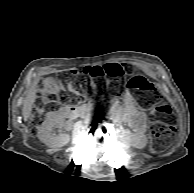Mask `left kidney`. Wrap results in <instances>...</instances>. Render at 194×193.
<instances>
[{"mask_svg":"<svg viewBox=\"0 0 194 193\" xmlns=\"http://www.w3.org/2000/svg\"><path fill=\"white\" fill-rule=\"evenodd\" d=\"M147 144V137L142 136L137 140V147L138 148H144Z\"/></svg>","mask_w":194,"mask_h":193,"instance_id":"1","label":"left kidney"}]
</instances>
